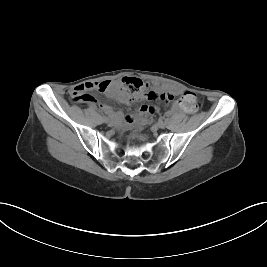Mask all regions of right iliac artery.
Segmentation results:
<instances>
[{
    "label": "right iliac artery",
    "mask_w": 267,
    "mask_h": 267,
    "mask_svg": "<svg viewBox=\"0 0 267 267\" xmlns=\"http://www.w3.org/2000/svg\"><path fill=\"white\" fill-rule=\"evenodd\" d=\"M99 115L102 117V118H105L106 117V115L101 111V112H99Z\"/></svg>",
    "instance_id": "1"
}]
</instances>
